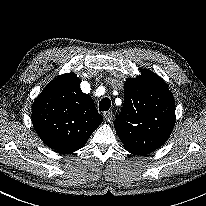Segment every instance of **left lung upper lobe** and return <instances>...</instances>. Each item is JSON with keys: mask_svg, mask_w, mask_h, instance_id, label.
Listing matches in <instances>:
<instances>
[{"mask_svg": "<svg viewBox=\"0 0 206 206\" xmlns=\"http://www.w3.org/2000/svg\"><path fill=\"white\" fill-rule=\"evenodd\" d=\"M124 105L115 130L124 148L146 155L161 147L175 125V102L167 84L150 70H143L124 84Z\"/></svg>", "mask_w": 206, "mask_h": 206, "instance_id": "1", "label": "left lung upper lobe"}]
</instances>
